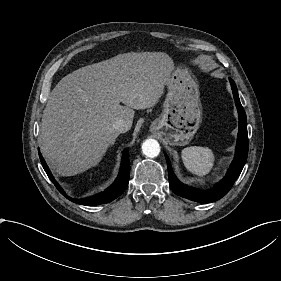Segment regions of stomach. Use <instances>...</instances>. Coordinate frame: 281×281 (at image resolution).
<instances>
[{
    "label": "stomach",
    "mask_w": 281,
    "mask_h": 281,
    "mask_svg": "<svg viewBox=\"0 0 281 281\" xmlns=\"http://www.w3.org/2000/svg\"><path fill=\"white\" fill-rule=\"evenodd\" d=\"M163 111L150 130L161 133L170 145H186L202 122L199 85L187 68L172 72Z\"/></svg>",
    "instance_id": "1"
}]
</instances>
